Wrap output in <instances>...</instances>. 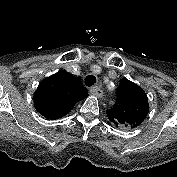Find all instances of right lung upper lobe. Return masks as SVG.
Segmentation results:
<instances>
[{
	"instance_id": "right-lung-upper-lobe-1",
	"label": "right lung upper lobe",
	"mask_w": 177,
	"mask_h": 177,
	"mask_svg": "<svg viewBox=\"0 0 177 177\" xmlns=\"http://www.w3.org/2000/svg\"><path fill=\"white\" fill-rule=\"evenodd\" d=\"M88 96L81 80L64 70L44 79L34 94L36 110L45 118L59 119Z\"/></svg>"
}]
</instances>
